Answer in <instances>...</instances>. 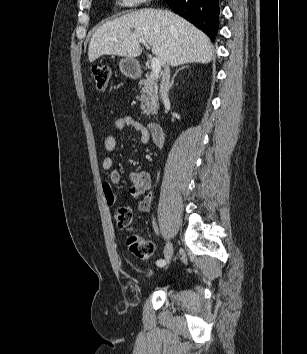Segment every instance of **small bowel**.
<instances>
[{"instance_id":"small-bowel-1","label":"small bowel","mask_w":307,"mask_h":354,"mask_svg":"<svg viewBox=\"0 0 307 354\" xmlns=\"http://www.w3.org/2000/svg\"><path fill=\"white\" fill-rule=\"evenodd\" d=\"M125 128H132L139 135V141L146 143L149 140L150 134L148 129L141 122L135 120L130 116L118 118L114 123V132L106 136L104 140V148L106 156L102 161V167L105 170L111 171L110 179L105 181L102 185L105 201L109 206H113L116 202L115 194L113 192V185L120 181V174L113 169L112 154L117 147L116 132L122 131ZM128 181L131 184L129 189L130 195L138 200V208L141 211H148L152 202V195L149 194L141 199L151 189L152 178L149 172L144 170L131 171L128 174Z\"/></svg>"}]
</instances>
